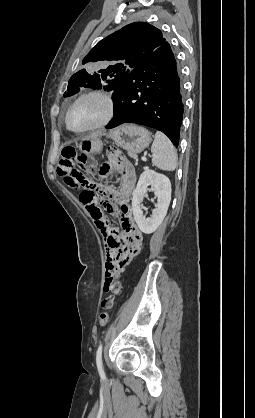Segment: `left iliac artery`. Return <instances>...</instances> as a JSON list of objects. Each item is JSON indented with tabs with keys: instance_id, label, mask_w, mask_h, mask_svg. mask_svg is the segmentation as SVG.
Returning a JSON list of instances; mask_svg holds the SVG:
<instances>
[{
	"instance_id": "44dca946",
	"label": "left iliac artery",
	"mask_w": 255,
	"mask_h": 418,
	"mask_svg": "<svg viewBox=\"0 0 255 418\" xmlns=\"http://www.w3.org/2000/svg\"><path fill=\"white\" fill-rule=\"evenodd\" d=\"M96 364L99 371V374L103 377L104 371L102 367V343L99 345L96 353Z\"/></svg>"
}]
</instances>
